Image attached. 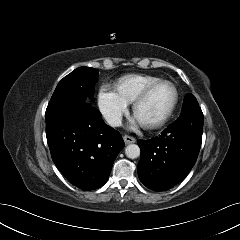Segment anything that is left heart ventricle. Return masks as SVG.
Masks as SVG:
<instances>
[{"label": "left heart ventricle", "mask_w": 240, "mask_h": 240, "mask_svg": "<svg viewBox=\"0 0 240 240\" xmlns=\"http://www.w3.org/2000/svg\"><path fill=\"white\" fill-rule=\"evenodd\" d=\"M173 99L174 90L170 86L159 87L139 106V119L145 122L157 120L170 108Z\"/></svg>", "instance_id": "1"}]
</instances>
